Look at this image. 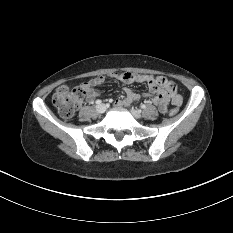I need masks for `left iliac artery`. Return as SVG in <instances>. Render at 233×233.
Here are the masks:
<instances>
[{
  "label": "left iliac artery",
  "instance_id": "44dca946",
  "mask_svg": "<svg viewBox=\"0 0 233 233\" xmlns=\"http://www.w3.org/2000/svg\"><path fill=\"white\" fill-rule=\"evenodd\" d=\"M141 108H142V109H145V108H146V105H145V104H141Z\"/></svg>",
  "mask_w": 233,
  "mask_h": 233
}]
</instances>
